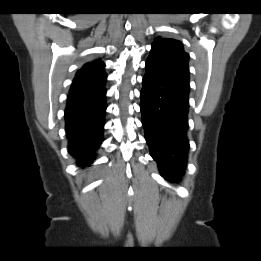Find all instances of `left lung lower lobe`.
Masks as SVG:
<instances>
[{
  "instance_id": "left-lung-lower-lobe-1",
  "label": "left lung lower lobe",
  "mask_w": 261,
  "mask_h": 261,
  "mask_svg": "<svg viewBox=\"0 0 261 261\" xmlns=\"http://www.w3.org/2000/svg\"><path fill=\"white\" fill-rule=\"evenodd\" d=\"M189 92V75L146 61L140 104L145 139L161 175L171 182L186 167Z\"/></svg>"
}]
</instances>
